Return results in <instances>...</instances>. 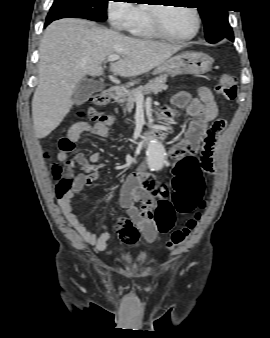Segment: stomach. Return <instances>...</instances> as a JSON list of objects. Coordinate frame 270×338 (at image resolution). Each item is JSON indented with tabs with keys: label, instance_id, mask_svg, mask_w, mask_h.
<instances>
[{
	"label": "stomach",
	"instance_id": "obj_1",
	"mask_svg": "<svg viewBox=\"0 0 270 338\" xmlns=\"http://www.w3.org/2000/svg\"><path fill=\"white\" fill-rule=\"evenodd\" d=\"M212 64V58L204 53L185 51L159 65L153 73L164 74L165 76L180 74L201 75L209 72Z\"/></svg>",
	"mask_w": 270,
	"mask_h": 338
}]
</instances>
